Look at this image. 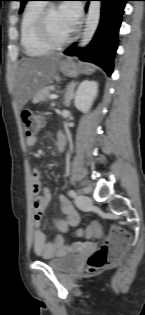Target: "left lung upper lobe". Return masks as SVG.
<instances>
[{"label": "left lung upper lobe", "instance_id": "obj_1", "mask_svg": "<svg viewBox=\"0 0 145 315\" xmlns=\"http://www.w3.org/2000/svg\"><path fill=\"white\" fill-rule=\"evenodd\" d=\"M18 1H21V7H20V10H19V12L21 13L23 11V9H24L25 3L27 1H30V0H18Z\"/></svg>", "mask_w": 145, "mask_h": 315}]
</instances>
